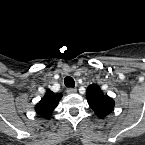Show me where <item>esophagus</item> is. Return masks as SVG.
Returning a JSON list of instances; mask_svg holds the SVG:
<instances>
[{"mask_svg": "<svg viewBox=\"0 0 145 145\" xmlns=\"http://www.w3.org/2000/svg\"><path fill=\"white\" fill-rule=\"evenodd\" d=\"M66 92H67L68 94H74V93L77 92V89H76V88H67V89H66Z\"/></svg>", "mask_w": 145, "mask_h": 145, "instance_id": "obj_1", "label": "esophagus"}]
</instances>
